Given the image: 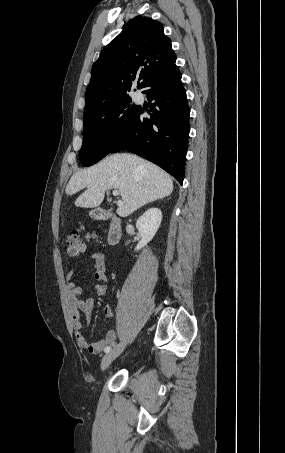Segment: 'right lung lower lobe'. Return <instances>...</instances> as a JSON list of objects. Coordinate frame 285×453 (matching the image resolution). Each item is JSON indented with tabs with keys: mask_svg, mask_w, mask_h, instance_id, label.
Returning <instances> with one entry per match:
<instances>
[{
	"mask_svg": "<svg viewBox=\"0 0 285 453\" xmlns=\"http://www.w3.org/2000/svg\"><path fill=\"white\" fill-rule=\"evenodd\" d=\"M144 88L148 101H153L148 110L150 118H144V110L139 107L110 153L123 149L134 152L182 184L190 111L178 67L154 76Z\"/></svg>",
	"mask_w": 285,
	"mask_h": 453,
	"instance_id": "98d812e1",
	"label": "right lung lower lobe"
}]
</instances>
